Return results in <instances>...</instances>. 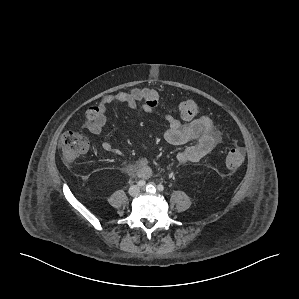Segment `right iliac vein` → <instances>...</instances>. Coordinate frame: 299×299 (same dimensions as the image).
<instances>
[{
    "mask_svg": "<svg viewBox=\"0 0 299 299\" xmlns=\"http://www.w3.org/2000/svg\"><path fill=\"white\" fill-rule=\"evenodd\" d=\"M128 192L130 196L136 197L140 193V188L137 185H134L129 188Z\"/></svg>",
    "mask_w": 299,
    "mask_h": 299,
    "instance_id": "right-iliac-vein-1",
    "label": "right iliac vein"
}]
</instances>
